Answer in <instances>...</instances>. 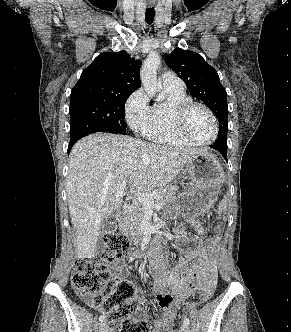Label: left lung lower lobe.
<instances>
[{"mask_svg": "<svg viewBox=\"0 0 291 332\" xmlns=\"http://www.w3.org/2000/svg\"><path fill=\"white\" fill-rule=\"evenodd\" d=\"M211 147L219 151L227 160V140L225 141L224 139H217L215 144Z\"/></svg>", "mask_w": 291, "mask_h": 332, "instance_id": "left-lung-lower-lobe-1", "label": "left lung lower lobe"}]
</instances>
